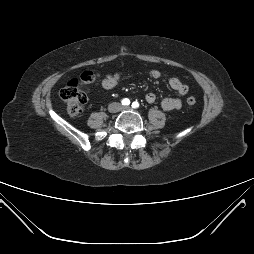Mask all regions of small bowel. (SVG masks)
<instances>
[{
  "label": "small bowel",
  "mask_w": 254,
  "mask_h": 254,
  "mask_svg": "<svg viewBox=\"0 0 254 254\" xmlns=\"http://www.w3.org/2000/svg\"><path fill=\"white\" fill-rule=\"evenodd\" d=\"M148 76L152 79H158L161 74L158 70L151 69L148 71ZM121 78L122 73L119 71H114L108 74L102 80V87L106 90L113 89L118 84ZM169 85L179 95H185L188 92V86L176 77L170 78ZM145 100L148 103H154L156 101V95L152 92H149L146 94ZM181 105L182 103L179 98L171 96L163 98L160 102L161 108L165 111L178 110L181 108Z\"/></svg>",
  "instance_id": "c3829d8e"
}]
</instances>
